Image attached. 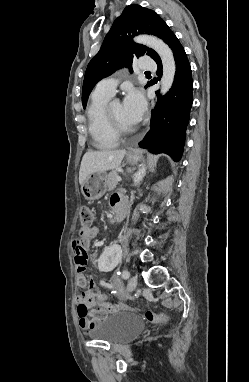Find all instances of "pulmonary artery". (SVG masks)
I'll return each instance as SVG.
<instances>
[{"instance_id":"e3ab8cb5","label":"pulmonary artery","mask_w":249,"mask_h":382,"mask_svg":"<svg viewBox=\"0 0 249 382\" xmlns=\"http://www.w3.org/2000/svg\"><path fill=\"white\" fill-rule=\"evenodd\" d=\"M138 67L141 70H154L156 68V65L149 58L144 57V58H141ZM117 83H118L117 78L115 76H110L108 78L101 80L97 84L95 90L112 96L115 92Z\"/></svg>"}]
</instances>
